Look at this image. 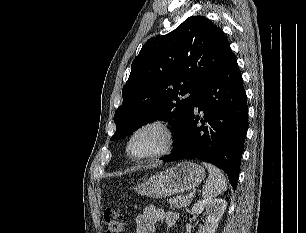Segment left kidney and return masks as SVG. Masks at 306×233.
Segmentation results:
<instances>
[{"label": "left kidney", "mask_w": 306, "mask_h": 233, "mask_svg": "<svg viewBox=\"0 0 306 233\" xmlns=\"http://www.w3.org/2000/svg\"><path fill=\"white\" fill-rule=\"evenodd\" d=\"M227 203L223 199H203L192 207L191 214L196 216L205 211V221L196 233H215L218 223L226 209Z\"/></svg>", "instance_id": "obj_1"}]
</instances>
